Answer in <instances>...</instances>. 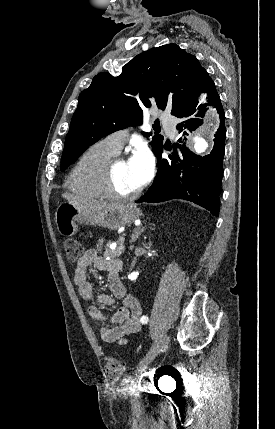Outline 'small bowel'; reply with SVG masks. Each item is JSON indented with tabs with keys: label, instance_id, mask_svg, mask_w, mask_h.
Listing matches in <instances>:
<instances>
[{
	"label": "small bowel",
	"instance_id": "1",
	"mask_svg": "<svg viewBox=\"0 0 275 429\" xmlns=\"http://www.w3.org/2000/svg\"><path fill=\"white\" fill-rule=\"evenodd\" d=\"M119 265L118 260L105 259L98 254L97 250L88 249L77 262L74 283L85 301L91 302L95 299L97 302V304H91L88 307L90 318L102 323L110 320L112 324H104L100 328L102 340L107 343L124 345L131 335L140 330L142 310L139 301L126 293L118 275ZM90 267L107 273V282L112 295L99 294L94 296L92 284L87 279V271ZM116 299L120 300L122 305L114 314L108 316L100 306H111Z\"/></svg>",
	"mask_w": 275,
	"mask_h": 429
}]
</instances>
